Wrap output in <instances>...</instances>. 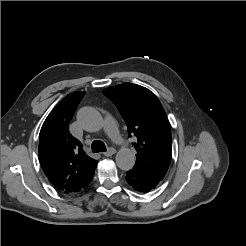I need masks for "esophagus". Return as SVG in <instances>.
<instances>
[{
  "mask_svg": "<svg viewBox=\"0 0 246 246\" xmlns=\"http://www.w3.org/2000/svg\"><path fill=\"white\" fill-rule=\"evenodd\" d=\"M115 153H116V150L114 148H109L106 152L103 153V155L106 157H110Z\"/></svg>",
  "mask_w": 246,
  "mask_h": 246,
  "instance_id": "1",
  "label": "esophagus"
}]
</instances>
